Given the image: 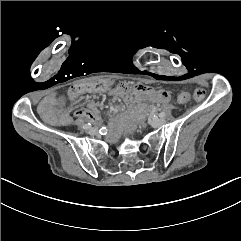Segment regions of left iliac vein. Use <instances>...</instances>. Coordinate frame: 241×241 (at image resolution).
<instances>
[{"instance_id": "1", "label": "left iliac vein", "mask_w": 241, "mask_h": 241, "mask_svg": "<svg viewBox=\"0 0 241 241\" xmlns=\"http://www.w3.org/2000/svg\"><path fill=\"white\" fill-rule=\"evenodd\" d=\"M151 125L154 126V127H159L163 124L166 123V120L164 118H153L151 121H150Z\"/></svg>"}]
</instances>
